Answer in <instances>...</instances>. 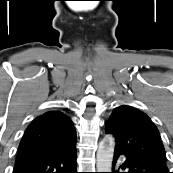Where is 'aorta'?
<instances>
[{"instance_id": "obj_1", "label": "aorta", "mask_w": 173, "mask_h": 173, "mask_svg": "<svg viewBox=\"0 0 173 173\" xmlns=\"http://www.w3.org/2000/svg\"><path fill=\"white\" fill-rule=\"evenodd\" d=\"M115 141L111 135H106L99 143L96 154L97 172H111Z\"/></svg>"}]
</instances>
